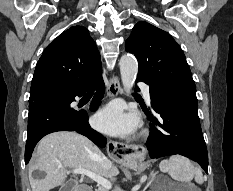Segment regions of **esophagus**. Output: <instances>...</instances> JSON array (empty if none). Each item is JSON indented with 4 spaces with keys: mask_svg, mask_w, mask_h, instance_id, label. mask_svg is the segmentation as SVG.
I'll list each match as a JSON object with an SVG mask.
<instances>
[{
    "mask_svg": "<svg viewBox=\"0 0 233 191\" xmlns=\"http://www.w3.org/2000/svg\"><path fill=\"white\" fill-rule=\"evenodd\" d=\"M121 90L120 81L117 76H112L109 80L107 95L115 98ZM109 156L115 158L117 164H131L140 160L145 153V149L140 145H126L122 142L110 140L108 143Z\"/></svg>",
    "mask_w": 233,
    "mask_h": 191,
    "instance_id": "34e87169",
    "label": "esophagus"
}]
</instances>
